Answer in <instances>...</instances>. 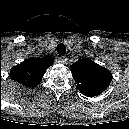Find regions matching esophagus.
<instances>
[{
  "mask_svg": "<svg viewBox=\"0 0 129 129\" xmlns=\"http://www.w3.org/2000/svg\"><path fill=\"white\" fill-rule=\"evenodd\" d=\"M58 60H59V62H62V63H66L67 62V59H66L65 56L58 57Z\"/></svg>",
  "mask_w": 129,
  "mask_h": 129,
  "instance_id": "obj_1",
  "label": "esophagus"
}]
</instances>
